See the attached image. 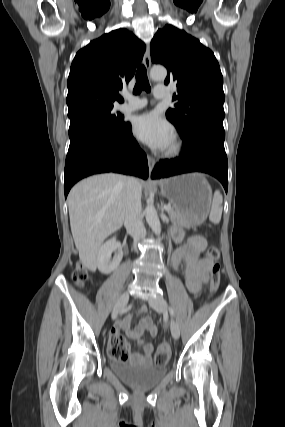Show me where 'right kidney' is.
<instances>
[{
  "label": "right kidney",
  "mask_w": 285,
  "mask_h": 427,
  "mask_svg": "<svg viewBox=\"0 0 285 427\" xmlns=\"http://www.w3.org/2000/svg\"><path fill=\"white\" fill-rule=\"evenodd\" d=\"M113 252H115V257L111 260ZM122 257L121 244L116 240V237H113L100 247L97 255V267L102 274H110L119 266Z\"/></svg>",
  "instance_id": "obj_1"
}]
</instances>
